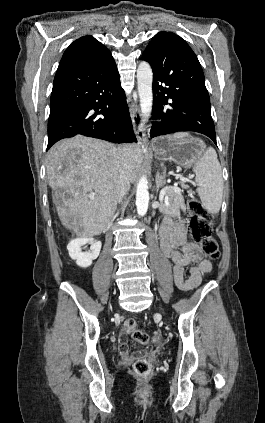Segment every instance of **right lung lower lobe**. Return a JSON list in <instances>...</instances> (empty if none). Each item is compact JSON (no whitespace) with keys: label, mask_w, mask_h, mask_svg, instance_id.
<instances>
[{"label":"right lung lower lobe","mask_w":265,"mask_h":423,"mask_svg":"<svg viewBox=\"0 0 265 423\" xmlns=\"http://www.w3.org/2000/svg\"><path fill=\"white\" fill-rule=\"evenodd\" d=\"M77 134L137 142L115 62L57 71L50 99L47 150Z\"/></svg>","instance_id":"right-lung-lower-lobe-1"}]
</instances>
